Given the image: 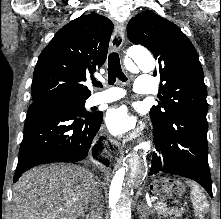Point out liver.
<instances>
[{
	"mask_svg": "<svg viewBox=\"0 0 221 219\" xmlns=\"http://www.w3.org/2000/svg\"><path fill=\"white\" fill-rule=\"evenodd\" d=\"M101 186L81 166L33 168L14 185L9 219H76L88 208L94 189Z\"/></svg>",
	"mask_w": 221,
	"mask_h": 219,
	"instance_id": "liver-1",
	"label": "liver"
}]
</instances>
